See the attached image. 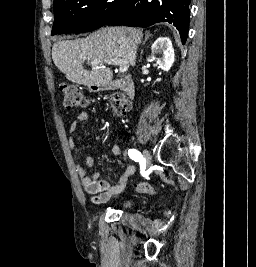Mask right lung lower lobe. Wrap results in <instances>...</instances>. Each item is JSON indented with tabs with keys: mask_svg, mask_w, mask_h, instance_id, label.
<instances>
[{
	"mask_svg": "<svg viewBox=\"0 0 256 267\" xmlns=\"http://www.w3.org/2000/svg\"><path fill=\"white\" fill-rule=\"evenodd\" d=\"M191 0H132L122 16L108 24L148 27L158 22L173 23L185 44L189 28Z\"/></svg>",
	"mask_w": 256,
	"mask_h": 267,
	"instance_id": "98d812e1",
	"label": "right lung lower lobe"
}]
</instances>
